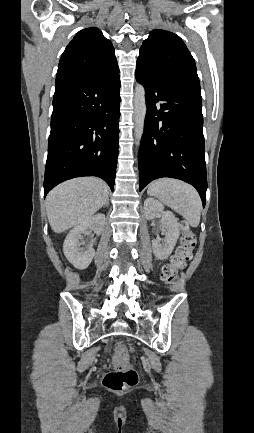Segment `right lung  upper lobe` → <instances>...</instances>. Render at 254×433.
Segmentation results:
<instances>
[{"label":"right lung upper lobe","instance_id":"right-lung-upper-lobe-1","mask_svg":"<svg viewBox=\"0 0 254 433\" xmlns=\"http://www.w3.org/2000/svg\"><path fill=\"white\" fill-rule=\"evenodd\" d=\"M114 47L97 28L79 31L63 52L55 83L99 77L117 70Z\"/></svg>","mask_w":254,"mask_h":433}]
</instances>
